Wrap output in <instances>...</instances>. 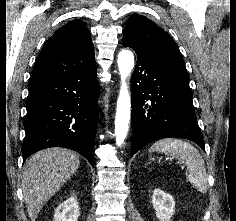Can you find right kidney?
I'll return each mask as SVG.
<instances>
[{
    "label": "right kidney",
    "instance_id": "right-kidney-1",
    "mask_svg": "<svg viewBox=\"0 0 236 221\" xmlns=\"http://www.w3.org/2000/svg\"><path fill=\"white\" fill-rule=\"evenodd\" d=\"M80 212L77 199L70 197L56 208L54 221H78Z\"/></svg>",
    "mask_w": 236,
    "mask_h": 221
}]
</instances>
